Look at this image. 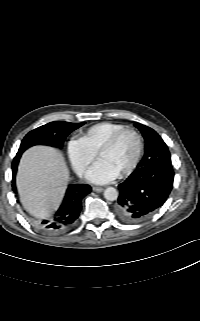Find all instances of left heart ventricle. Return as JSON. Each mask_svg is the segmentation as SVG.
<instances>
[{
  "mask_svg": "<svg viewBox=\"0 0 200 321\" xmlns=\"http://www.w3.org/2000/svg\"><path fill=\"white\" fill-rule=\"evenodd\" d=\"M137 151V139L134 134H124L117 144L101 153L100 159L106 161L118 174L133 161Z\"/></svg>",
  "mask_w": 200,
  "mask_h": 321,
  "instance_id": "left-heart-ventricle-1",
  "label": "left heart ventricle"
}]
</instances>
